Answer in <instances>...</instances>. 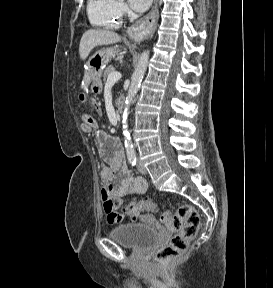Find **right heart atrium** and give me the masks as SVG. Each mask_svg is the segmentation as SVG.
Listing matches in <instances>:
<instances>
[{
    "label": "right heart atrium",
    "instance_id": "d8ad5b80",
    "mask_svg": "<svg viewBox=\"0 0 273 288\" xmlns=\"http://www.w3.org/2000/svg\"><path fill=\"white\" fill-rule=\"evenodd\" d=\"M116 7L121 16H124L128 13V8L123 0H116Z\"/></svg>",
    "mask_w": 273,
    "mask_h": 288
}]
</instances>
